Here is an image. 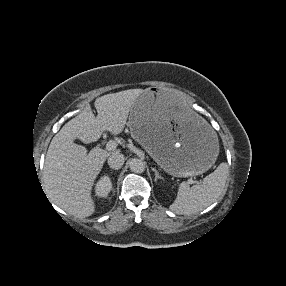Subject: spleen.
<instances>
[{"label": "spleen", "instance_id": "spleen-1", "mask_svg": "<svg viewBox=\"0 0 286 286\" xmlns=\"http://www.w3.org/2000/svg\"><path fill=\"white\" fill-rule=\"evenodd\" d=\"M227 175L228 165L223 162L198 185L190 187L187 182H182L179 185L175 201L170 205V210L184 215L204 210L221 195Z\"/></svg>", "mask_w": 286, "mask_h": 286}]
</instances>
